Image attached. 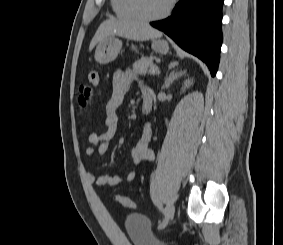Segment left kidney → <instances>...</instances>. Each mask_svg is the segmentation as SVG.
I'll list each match as a JSON object with an SVG mask.
<instances>
[{
	"label": "left kidney",
	"instance_id": "1",
	"mask_svg": "<svg viewBox=\"0 0 283 245\" xmlns=\"http://www.w3.org/2000/svg\"><path fill=\"white\" fill-rule=\"evenodd\" d=\"M193 83V81L192 80H186L185 82H184V87H183V90L185 89V88H188V87H190V85Z\"/></svg>",
	"mask_w": 283,
	"mask_h": 245
}]
</instances>
